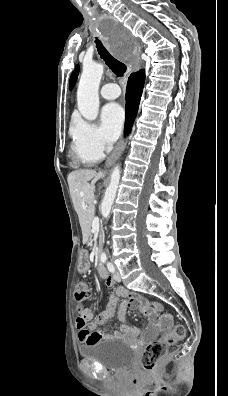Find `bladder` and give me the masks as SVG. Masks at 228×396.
<instances>
[{
	"label": "bladder",
	"mask_w": 228,
	"mask_h": 396,
	"mask_svg": "<svg viewBox=\"0 0 228 396\" xmlns=\"http://www.w3.org/2000/svg\"><path fill=\"white\" fill-rule=\"evenodd\" d=\"M81 357L93 360L110 370H123L131 365L134 352L130 345L118 338L96 341L79 348Z\"/></svg>",
	"instance_id": "bladder-1"
}]
</instances>
